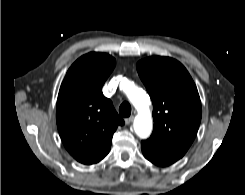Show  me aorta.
Listing matches in <instances>:
<instances>
[{"mask_svg": "<svg viewBox=\"0 0 245 195\" xmlns=\"http://www.w3.org/2000/svg\"><path fill=\"white\" fill-rule=\"evenodd\" d=\"M122 88L132 102L138 115L134 120V131L140 138H147L152 131V117L150 112V98L144 90L135 87L128 81L122 82Z\"/></svg>", "mask_w": 245, "mask_h": 195, "instance_id": "aorta-1", "label": "aorta"}]
</instances>
